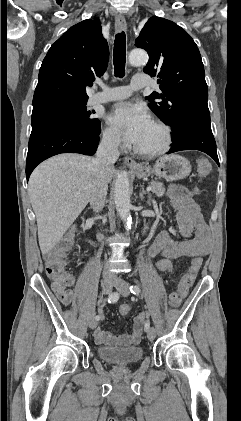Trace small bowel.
Masks as SVG:
<instances>
[{
    "label": "small bowel",
    "mask_w": 241,
    "mask_h": 421,
    "mask_svg": "<svg viewBox=\"0 0 241 421\" xmlns=\"http://www.w3.org/2000/svg\"><path fill=\"white\" fill-rule=\"evenodd\" d=\"M167 196L170 198L173 207L177 210V223L184 240L176 241L166 231L156 235L148 248V257L162 256L167 259L195 258L208 255L211 247L210 231L203 220L199 207L193 200L189 190L183 186L171 185L168 188ZM73 282L69 285L55 288L54 292L63 305H70L74 298L71 289ZM182 298L176 292L169 296V303L172 307L181 304ZM146 314L141 313L133 320L132 331L129 334H113L97 328L94 337L97 344L130 346L140 342Z\"/></svg>",
    "instance_id": "small-bowel-1"
}]
</instances>
